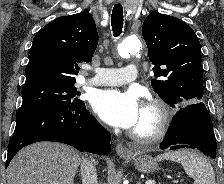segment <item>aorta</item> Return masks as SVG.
Returning <instances> with one entry per match:
<instances>
[{
	"mask_svg": "<svg viewBox=\"0 0 224 184\" xmlns=\"http://www.w3.org/2000/svg\"><path fill=\"white\" fill-rule=\"evenodd\" d=\"M141 47L142 45L138 38L128 37L117 46V52L122 58L127 59L132 54L139 52Z\"/></svg>",
	"mask_w": 224,
	"mask_h": 184,
	"instance_id": "1",
	"label": "aorta"
}]
</instances>
